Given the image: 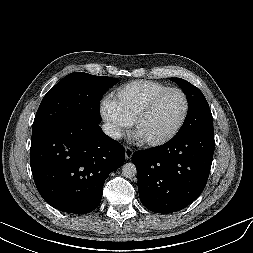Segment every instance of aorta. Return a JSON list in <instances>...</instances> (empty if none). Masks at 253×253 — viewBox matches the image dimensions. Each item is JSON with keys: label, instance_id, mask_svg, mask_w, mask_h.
<instances>
[{"label": "aorta", "instance_id": "aorta-1", "mask_svg": "<svg viewBox=\"0 0 253 253\" xmlns=\"http://www.w3.org/2000/svg\"><path fill=\"white\" fill-rule=\"evenodd\" d=\"M137 173V168L133 163H126L122 166V175L126 178H133Z\"/></svg>", "mask_w": 253, "mask_h": 253}]
</instances>
